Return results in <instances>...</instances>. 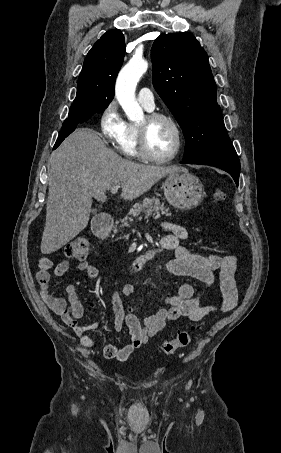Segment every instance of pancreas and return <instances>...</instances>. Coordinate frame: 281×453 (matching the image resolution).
<instances>
[{
  "label": "pancreas",
  "mask_w": 281,
  "mask_h": 453,
  "mask_svg": "<svg viewBox=\"0 0 281 453\" xmlns=\"http://www.w3.org/2000/svg\"><path fill=\"white\" fill-rule=\"evenodd\" d=\"M168 210L169 208H166L164 202H160V198H155V196L148 198V196H146L142 202H135L133 208H130V212H127L126 216L121 218V222H123L121 227H128L129 220H133L132 216L141 218V212H144L145 218H150V216H153V218H160L162 214L171 216V212H168ZM113 229L116 231V227H113Z\"/></svg>",
  "instance_id": "obj_1"
}]
</instances>
